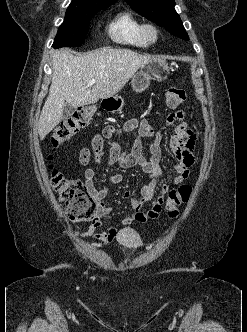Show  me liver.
<instances>
[{
    "mask_svg": "<svg viewBox=\"0 0 247 332\" xmlns=\"http://www.w3.org/2000/svg\"><path fill=\"white\" fill-rule=\"evenodd\" d=\"M155 58L109 47L83 56H74L68 49L56 50L52 59V83L38 124L40 139L60 123L65 104L76 108L113 97L139 68ZM92 79L96 82L91 88L87 84Z\"/></svg>",
    "mask_w": 247,
    "mask_h": 332,
    "instance_id": "6515ba94",
    "label": "liver"
}]
</instances>
